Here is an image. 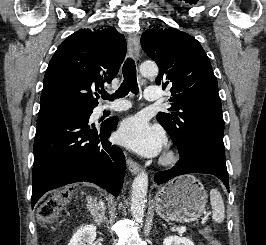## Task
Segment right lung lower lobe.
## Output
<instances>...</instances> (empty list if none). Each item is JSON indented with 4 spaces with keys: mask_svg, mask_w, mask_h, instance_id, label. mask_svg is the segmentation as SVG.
I'll list each match as a JSON object with an SVG mask.
<instances>
[{
    "mask_svg": "<svg viewBox=\"0 0 266 245\" xmlns=\"http://www.w3.org/2000/svg\"><path fill=\"white\" fill-rule=\"evenodd\" d=\"M91 114H66L36 127L32 208L47 191L75 182L95 183L115 196L120 193L125 157L108 141L117 119L88 125Z\"/></svg>",
    "mask_w": 266,
    "mask_h": 245,
    "instance_id": "right-lung-lower-lobe-1",
    "label": "right lung lower lobe"
}]
</instances>
